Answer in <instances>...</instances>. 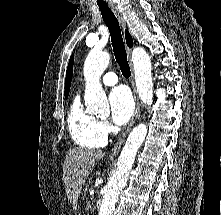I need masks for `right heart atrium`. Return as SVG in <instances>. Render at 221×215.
<instances>
[{
    "label": "right heart atrium",
    "mask_w": 221,
    "mask_h": 215,
    "mask_svg": "<svg viewBox=\"0 0 221 215\" xmlns=\"http://www.w3.org/2000/svg\"><path fill=\"white\" fill-rule=\"evenodd\" d=\"M98 129L99 133L105 138L114 131L112 124L107 120H100L98 123Z\"/></svg>",
    "instance_id": "right-heart-atrium-1"
}]
</instances>
